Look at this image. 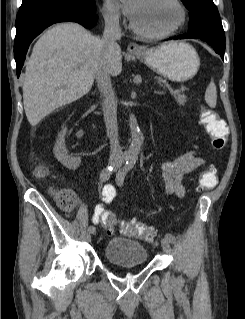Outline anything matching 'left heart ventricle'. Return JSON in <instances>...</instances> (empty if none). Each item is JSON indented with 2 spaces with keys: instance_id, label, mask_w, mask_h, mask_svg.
<instances>
[{
  "instance_id": "left-heart-ventricle-1",
  "label": "left heart ventricle",
  "mask_w": 245,
  "mask_h": 319,
  "mask_svg": "<svg viewBox=\"0 0 245 319\" xmlns=\"http://www.w3.org/2000/svg\"><path fill=\"white\" fill-rule=\"evenodd\" d=\"M179 10L171 0H141L133 22L150 33L163 32L179 21Z\"/></svg>"
}]
</instances>
